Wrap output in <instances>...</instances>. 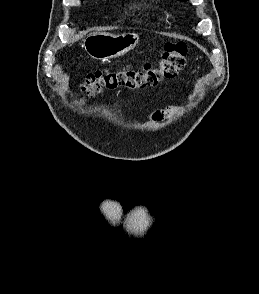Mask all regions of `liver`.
Masks as SVG:
<instances>
[{
  "label": "liver",
  "instance_id": "obj_1",
  "mask_svg": "<svg viewBox=\"0 0 259 294\" xmlns=\"http://www.w3.org/2000/svg\"><path fill=\"white\" fill-rule=\"evenodd\" d=\"M79 38H80V36H79V35H76L74 40L76 41V40H78Z\"/></svg>",
  "mask_w": 259,
  "mask_h": 294
}]
</instances>
